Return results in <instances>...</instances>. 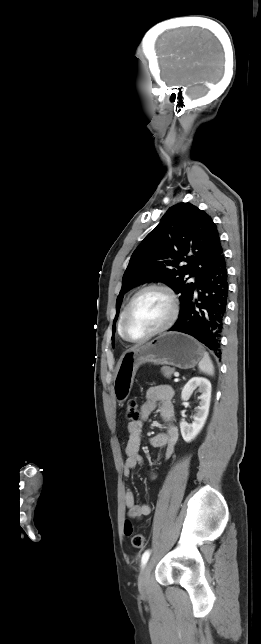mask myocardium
<instances>
[{
    "mask_svg": "<svg viewBox=\"0 0 261 644\" xmlns=\"http://www.w3.org/2000/svg\"><path fill=\"white\" fill-rule=\"evenodd\" d=\"M149 290H159V291H162L163 293L166 294V296L168 297L169 302H170V315H169L167 321L162 326H160L159 328L154 330L153 332H151L148 335H146L144 337H141V338H133L129 334L128 329H127L128 318H129L132 306H133L134 302L136 301V299L141 294H143L144 292L149 291ZM178 315H179V300H178L177 295L175 294V292L169 286H167V285H165L163 283H151V284L145 285L142 288H140L131 297V299L129 300L128 304L126 305V307H125V309L123 311V315H122L121 333H122L124 339L127 340L128 342L142 343V342L148 341V340L152 339L153 337H156V336L164 333L165 331L169 330L175 324V322H176V320L178 318Z\"/></svg>",
    "mask_w": 261,
    "mask_h": 644,
    "instance_id": "obj_1",
    "label": "myocardium"
}]
</instances>
